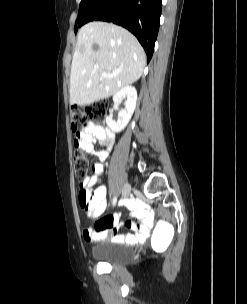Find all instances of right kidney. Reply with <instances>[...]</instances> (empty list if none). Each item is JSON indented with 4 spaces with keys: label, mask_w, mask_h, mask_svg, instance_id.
I'll return each mask as SVG.
<instances>
[{
    "label": "right kidney",
    "mask_w": 247,
    "mask_h": 304,
    "mask_svg": "<svg viewBox=\"0 0 247 304\" xmlns=\"http://www.w3.org/2000/svg\"><path fill=\"white\" fill-rule=\"evenodd\" d=\"M124 97L127 98L125 101V108L119 111L117 122L113 121L111 116L106 117V124L113 132L122 131L127 126L134 113L137 101V91L135 87L130 85L122 87L113 96L114 105H118Z\"/></svg>",
    "instance_id": "1"
}]
</instances>
